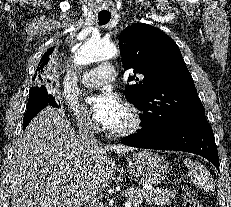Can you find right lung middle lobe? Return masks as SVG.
<instances>
[{
  "instance_id": "1",
  "label": "right lung middle lobe",
  "mask_w": 231,
  "mask_h": 207,
  "mask_svg": "<svg viewBox=\"0 0 231 207\" xmlns=\"http://www.w3.org/2000/svg\"><path fill=\"white\" fill-rule=\"evenodd\" d=\"M41 89H45V87H44V86H40V87H33V88L30 89L28 103H30L31 101L34 100L35 95H36Z\"/></svg>"
}]
</instances>
